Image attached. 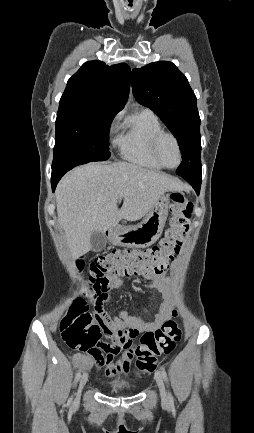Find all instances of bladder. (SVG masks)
I'll list each match as a JSON object with an SVG mask.
<instances>
[{"label": "bladder", "instance_id": "1", "mask_svg": "<svg viewBox=\"0 0 254 433\" xmlns=\"http://www.w3.org/2000/svg\"><path fill=\"white\" fill-rule=\"evenodd\" d=\"M106 389L114 394H121L130 392L129 386L124 383L114 382L106 385Z\"/></svg>", "mask_w": 254, "mask_h": 433}]
</instances>
